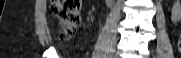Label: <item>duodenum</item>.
<instances>
[{
	"label": "duodenum",
	"mask_w": 181,
	"mask_h": 58,
	"mask_svg": "<svg viewBox=\"0 0 181 58\" xmlns=\"http://www.w3.org/2000/svg\"><path fill=\"white\" fill-rule=\"evenodd\" d=\"M109 3H112L113 1L112 0H108Z\"/></svg>",
	"instance_id": "1"
}]
</instances>
